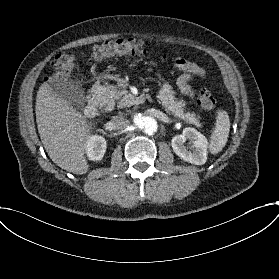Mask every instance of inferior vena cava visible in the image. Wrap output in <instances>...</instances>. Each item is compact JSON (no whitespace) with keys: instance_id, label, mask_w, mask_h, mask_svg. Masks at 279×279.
Listing matches in <instances>:
<instances>
[{"instance_id":"1","label":"inferior vena cava","mask_w":279,"mask_h":279,"mask_svg":"<svg viewBox=\"0 0 279 279\" xmlns=\"http://www.w3.org/2000/svg\"><path fill=\"white\" fill-rule=\"evenodd\" d=\"M129 125V120L121 115L113 116L108 122L110 130H123Z\"/></svg>"}]
</instances>
